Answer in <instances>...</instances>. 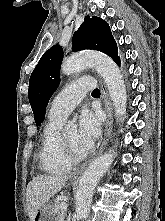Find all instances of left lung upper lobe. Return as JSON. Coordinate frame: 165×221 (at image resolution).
<instances>
[{
    "label": "left lung upper lobe",
    "mask_w": 165,
    "mask_h": 221,
    "mask_svg": "<svg viewBox=\"0 0 165 221\" xmlns=\"http://www.w3.org/2000/svg\"><path fill=\"white\" fill-rule=\"evenodd\" d=\"M85 49L101 51L115 62L119 59L117 45L110 27L99 17L86 16L73 36L72 50L76 52ZM62 59V47L54 45L44 53L31 74L28 97L36 125L43 121L49 99L60 83Z\"/></svg>",
    "instance_id": "left-lung-upper-lobe-1"
}]
</instances>
